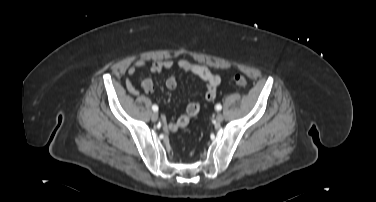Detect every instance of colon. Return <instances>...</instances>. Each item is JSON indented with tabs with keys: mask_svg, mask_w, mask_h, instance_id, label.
<instances>
[{
	"mask_svg": "<svg viewBox=\"0 0 376 202\" xmlns=\"http://www.w3.org/2000/svg\"><path fill=\"white\" fill-rule=\"evenodd\" d=\"M234 82H235L236 86H238L240 88H245L248 85L247 79L242 75H236L235 78H234ZM191 112L195 114L197 112V109L192 108Z\"/></svg>",
	"mask_w": 376,
	"mask_h": 202,
	"instance_id": "1",
	"label": "colon"
}]
</instances>
